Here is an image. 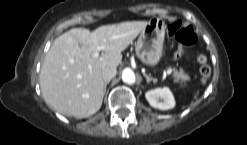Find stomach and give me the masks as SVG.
<instances>
[{"label": "stomach", "instance_id": "1", "mask_svg": "<svg viewBox=\"0 0 247 145\" xmlns=\"http://www.w3.org/2000/svg\"><path fill=\"white\" fill-rule=\"evenodd\" d=\"M166 25L159 18L151 19L141 31L135 44V52L142 63L155 66L163 55Z\"/></svg>", "mask_w": 247, "mask_h": 145}]
</instances>
